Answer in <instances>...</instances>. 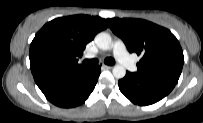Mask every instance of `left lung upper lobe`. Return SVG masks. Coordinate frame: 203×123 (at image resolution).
Returning a JSON list of instances; mask_svg holds the SVG:
<instances>
[{"instance_id":"left-lung-upper-lobe-1","label":"left lung upper lobe","mask_w":203,"mask_h":123,"mask_svg":"<svg viewBox=\"0 0 203 123\" xmlns=\"http://www.w3.org/2000/svg\"><path fill=\"white\" fill-rule=\"evenodd\" d=\"M111 30L126 44L129 52L141 55L137 74L168 80L180 77L184 56L176 37L166 28L142 19H107Z\"/></svg>"}]
</instances>
